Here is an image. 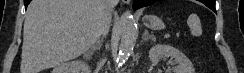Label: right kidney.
I'll return each instance as SVG.
<instances>
[{
	"mask_svg": "<svg viewBox=\"0 0 244 73\" xmlns=\"http://www.w3.org/2000/svg\"><path fill=\"white\" fill-rule=\"evenodd\" d=\"M90 73L89 66L80 60L62 63L56 66L52 73Z\"/></svg>",
	"mask_w": 244,
	"mask_h": 73,
	"instance_id": "1",
	"label": "right kidney"
}]
</instances>
